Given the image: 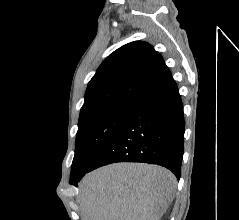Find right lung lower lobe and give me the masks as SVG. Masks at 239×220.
I'll use <instances>...</instances> for the list:
<instances>
[{
  "mask_svg": "<svg viewBox=\"0 0 239 220\" xmlns=\"http://www.w3.org/2000/svg\"><path fill=\"white\" fill-rule=\"evenodd\" d=\"M183 140V106L171 75L132 103L88 172L115 162H143L164 166L179 179ZM81 178L69 183L77 186Z\"/></svg>",
  "mask_w": 239,
  "mask_h": 220,
  "instance_id": "right-lung-lower-lobe-1",
  "label": "right lung lower lobe"
}]
</instances>
